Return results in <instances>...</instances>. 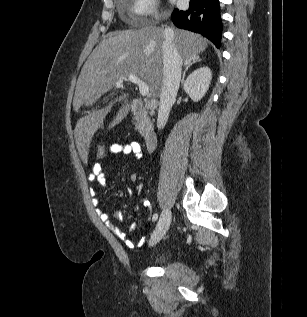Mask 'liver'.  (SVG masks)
Returning a JSON list of instances; mask_svg holds the SVG:
<instances>
[{
    "mask_svg": "<svg viewBox=\"0 0 307 317\" xmlns=\"http://www.w3.org/2000/svg\"><path fill=\"white\" fill-rule=\"evenodd\" d=\"M173 32V43L184 61L198 56L207 48L208 41L199 34L180 29ZM163 41V27L148 26L109 33L83 65L73 100L74 111L78 112L82 106H93L102 95L113 89L118 80L124 81L129 75H136L146 82L150 94L158 97L163 85ZM127 96L123 94L116 99L124 101V104L109 128L117 125L128 113ZM114 103L99 110L86 111L87 115L77 121L74 137L82 163H89L87 146L103 126Z\"/></svg>",
    "mask_w": 307,
    "mask_h": 317,
    "instance_id": "1",
    "label": "liver"
}]
</instances>
